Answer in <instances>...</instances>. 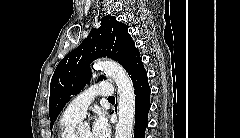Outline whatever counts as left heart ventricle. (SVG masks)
Instances as JSON below:
<instances>
[{
	"label": "left heart ventricle",
	"instance_id": "1",
	"mask_svg": "<svg viewBox=\"0 0 240 138\" xmlns=\"http://www.w3.org/2000/svg\"><path fill=\"white\" fill-rule=\"evenodd\" d=\"M79 138H91V133L89 130H81L78 132Z\"/></svg>",
	"mask_w": 240,
	"mask_h": 138
}]
</instances>
